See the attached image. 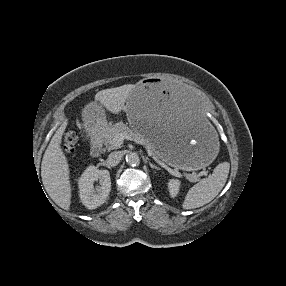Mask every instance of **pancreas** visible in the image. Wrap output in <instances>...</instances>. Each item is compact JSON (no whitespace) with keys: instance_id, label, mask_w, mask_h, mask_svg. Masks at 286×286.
Listing matches in <instances>:
<instances>
[{"instance_id":"1","label":"pancreas","mask_w":286,"mask_h":286,"mask_svg":"<svg viewBox=\"0 0 286 286\" xmlns=\"http://www.w3.org/2000/svg\"><path fill=\"white\" fill-rule=\"evenodd\" d=\"M99 134L101 136L104 145L108 150L118 149L120 146L115 143L114 141L115 136L117 134H124L130 136L132 140H134L135 142L144 145V147L147 150H149L154 156H156V154L153 153V148L152 145L149 143V141L143 135L134 132L126 124L122 122L116 123L113 126L103 129V131L100 132ZM187 178L191 182H195L198 180V177L195 174L188 175Z\"/></svg>"}]
</instances>
